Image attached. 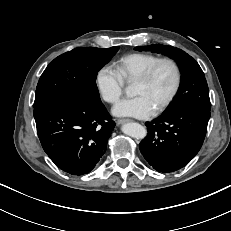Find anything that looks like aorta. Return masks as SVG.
<instances>
[{"mask_svg":"<svg viewBox=\"0 0 231 231\" xmlns=\"http://www.w3.org/2000/svg\"><path fill=\"white\" fill-rule=\"evenodd\" d=\"M127 94H130L131 89H126ZM122 132L132 138L143 139L147 135V130L139 123H127L122 126Z\"/></svg>","mask_w":231,"mask_h":231,"instance_id":"aorta-1","label":"aorta"}]
</instances>
